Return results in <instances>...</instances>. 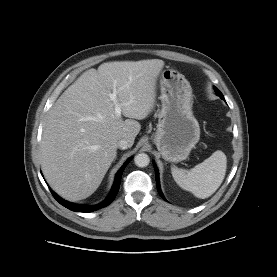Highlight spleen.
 Returning a JSON list of instances; mask_svg holds the SVG:
<instances>
[{
  "mask_svg": "<svg viewBox=\"0 0 277 277\" xmlns=\"http://www.w3.org/2000/svg\"><path fill=\"white\" fill-rule=\"evenodd\" d=\"M226 168V155L217 150L189 172L172 167L171 173L182 189L191 192L197 198L205 199L220 187L225 178Z\"/></svg>",
  "mask_w": 277,
  "mask_h": 277,
  "instance_id": "1",
  "label": "spleen"
}]
</instances>
